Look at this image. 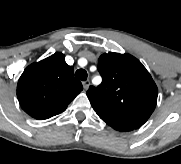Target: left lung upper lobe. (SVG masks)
<instances>
[{"label":"left lung upper lobe","instance_id":"1","mask_svg":"<svg viewBox=\"0 0 181 164\" xmlns=\"http://www.w3.org/2000/svg\"><path fill=\"white\" fill-rule=\"evenodd\" d=\"M102 83L90 86L87 97L104 121L141 127L153 113L158 89L141 62L130 54L110 52L98 60Z\"/></svg>","mask_w":181,"mask_h":164}]
</instances>
